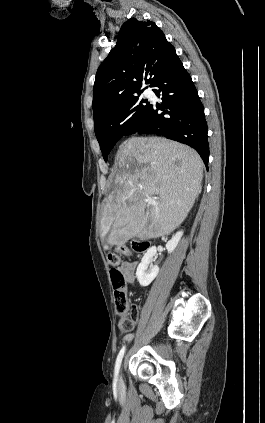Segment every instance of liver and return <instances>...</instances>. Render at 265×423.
I'll use <instances>...</instances> for the list:
<instances>
[{
  "instance_id": "obj_1",
  "label": "liver",
  "mask_w": 265,
  "mask_h": 423,
  "mask_svg": "<svg viewBox=\"0 0 265 423\" xmlns=\"http://www.w3.org/2000/svg\"><path fill=\"white\" fill-rule=\"evenodd\" d=\"M113 177L115 188L105 199L101 218V239L111 246L176 229L201 193L203 161L181 143L131 137L117 151ZM152 196L158 205L146 202Z\"/></svg>"
}]
</instances>
